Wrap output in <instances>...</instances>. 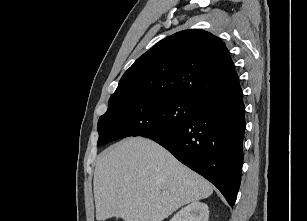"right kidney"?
<instances>
[{"label":"right kidney","mask_w":307,"mask_h":221,"mask_svg":"<svg viewBox=\"0 0 307 221\" xmlns=\"http://www.w3.org/2000/svg\"><path fill=\"white\" fill-rule=\"evenodd\" d=\"M209 209L207 204L192 202L177 212L170 221H208Z\"/></svg>","instance_id":"1"}]
</instances>
